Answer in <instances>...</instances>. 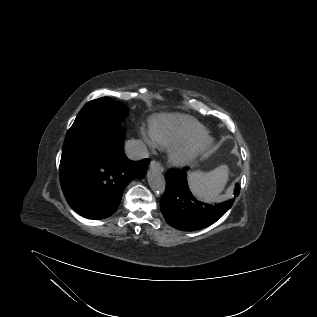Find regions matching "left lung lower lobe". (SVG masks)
<instances>
[{
  "label": "left lung lower lobe",
  "mask_w": 317,
  "mask_h": 317,
  "mask_svg": "<svg viewBox=\"0 0 317 317\" xmlns=\"http://www.w3.org/2000/svg\"><path fill=\"white\" fill-rule=\"evenodd\" d=\"M183 170H172L166 173V190L160 201L165 220L173 227L194 231L208 227L219 220L232 206L235 199L213 206L196 200L190 193L186 173ZM239 184H236L234 196H238Z\"/></svg>",
  "instance_id": "1"
}]
</instances>
